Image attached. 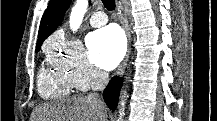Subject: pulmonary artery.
I'll use <instances>...</instances> for the list:
<instances>
[{"label":"pulmonary artery","instance_id":"e3ab8cb5","mask_svg":"<svg viewBox=\"0 0 217 121\" xmlns=\"http://www.w3.org/2000/svg\"><path fill=\"white\" fill-rule=\"evenodd\" d=\"M107 21H108V17L102 11H97V12L93 13L91 18H90V24L93 27L103 26L107 23Z\"/></svg>","mask_w":217,"mask_h":121}]
</instances>
